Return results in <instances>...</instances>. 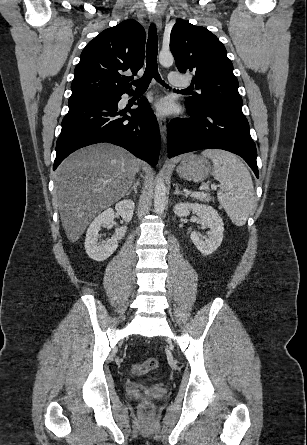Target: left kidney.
Masks as SVG:
<instances>
[{
    "mask_svg": "<svg viewBox=\"0 0 307 445\" xmlns=\"http://www.w3.org/2000/svg\"><path fill=\"white\" fill-rule=\"evenodd\" d=\"M190 210L196 212L197 216H200L202 227L209 229L204 241L200 239L199 233L197 231H192L190 233V239L197 247L198 251L206 257V255H211L214 253L218 247H220L223 241V231L224 225L221 216H219L217 210L209 204H199V202H179L175 204L174 212L177 216H188Z\"/></svg>",
    "mask_w": 307,
    "mask_h": 445,
    "instance_id": "obj_1",
    "label": "left kidney"
}]
</instances>
